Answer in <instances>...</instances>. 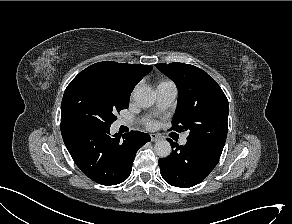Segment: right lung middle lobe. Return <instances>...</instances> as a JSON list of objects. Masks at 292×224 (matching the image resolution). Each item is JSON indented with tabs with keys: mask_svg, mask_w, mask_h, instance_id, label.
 <instances>
[{
	"mask_svg": "<svg viewBox=\"0 0 292 224\" xmlns=\"http://www.w3.org/2000/svg\"><path fill=\"white\" fill-rule=\"evenodd\" d=\"M126 92L102 66L91 65L67 86L61 105V124L78 122L110 129L116 114L129 106Z\"/></svg>",
	"mask_w": 292,
	"mask_h": 224,
	"instance_id": "obj_1",
	"label": "right lung middle lobe"
}]
</instances>
